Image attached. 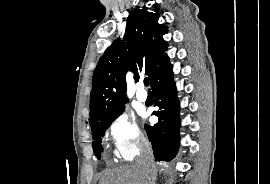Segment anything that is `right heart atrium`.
<instances>
[{"label":"right heart atrium","instance_id":"1","mask_svg":"<svg viewBox=\"0 0 270 184\" xmlns=\"http://www.w3.org/2000/svg\"><path fill=\"white\" fill-rule=\"evenodd\" d=\"M108 134L116 155L122 161H132L146 143L135 120L125 113H120L111 120Z\"/></svg>","mask_w":270,"mask_h":184}]
</instances>
